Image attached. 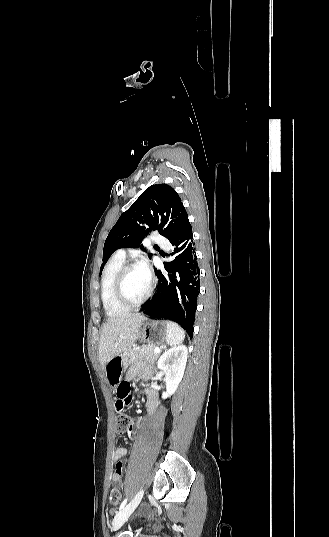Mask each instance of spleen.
Wrapping results in <instances>:
<instances>
[{
  "instance_id": "3e777b00",
  "label": "spleen",
  "mask_w": 329,
  "mask_h": 537,
  "mask_svg": "<svg viewBox=\"0 0 329 537\" xmlns=\"http://www.w3.org/2000/svg\"><path fill=\"white\" fill-rule=\"evenodd\" d=\"M185 332L184 330L176 323L169 321L168 322V335L166 338L167 344L170 346L179 345L184 341Z\"/></svg>"
}]
</instances>
